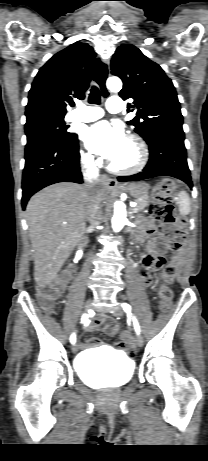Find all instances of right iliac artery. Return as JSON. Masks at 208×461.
I'll return each instance as SVG.
<instances>
[{"label": "right iliac artery", "instance_id": "1", "mask_svg": "<svg viewBox=\"0 0 208 461\" xmlns=\"http://www.w3.org/2000/svg\"><path fill=\"white\" fill-rule=\"evenodd\" d=\"M87 319H88V315H87V314H84V315L82 316V318H81V322H82V323H83V322H86ZM75 341H76V336H75V334H72L71 337H70V342H71L72 344H74Z\"/></svg>", "mask_w": 208, "mask_h": 461}]
</instances>
